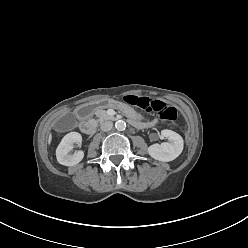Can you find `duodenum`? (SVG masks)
Returning a JSON list of instances; mask_svg holds the SVG:
<instances>
[{
  "instance_id": "obj_1",
  "label": "duodenum",
  "mask_w": 248,
  "mask_h": 248,
  "mask_svg": "<svg viewBox=\"0 0 248 248\" xmlns=\"http://www.w3.org/2000/svg\"><path fill=\"white\" fill-rule=\"evenodd\" d=\"M93 111L89 110V104H85L79 107L78 116L82 119L80 123V129L84 134L91 135L95 132L96 125L92 121H85L84 119L88 117Z\"/></svg>"
}]
</instances>
